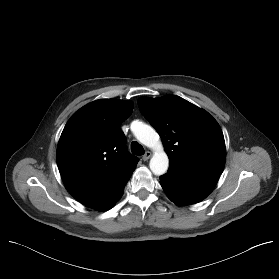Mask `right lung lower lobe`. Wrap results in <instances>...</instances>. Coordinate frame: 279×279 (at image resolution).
Listing matches in <instances>:
<instances>
[{
    "label": "right lung lower lobe",
    "instance_id": "98d812e1",
    "mask_svg": "<svg viewBox=\"0 0 279 279\" xmlns=\"http://www.w3.org/2000/svg\"><path fill=\"white\" fill-rule=\"evenodd\" d=\"M130 178V177H129ZM129 178L115 186L114 188L89 199L80 201L82 204L94 208L96 210H108L112 208L116 202L121 198L124 186L127 184Z\"/></svg>",
    "mask_w": 279,
    "mask_h": 279
}]
</instances>
